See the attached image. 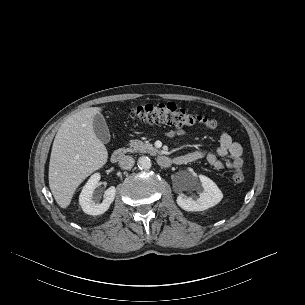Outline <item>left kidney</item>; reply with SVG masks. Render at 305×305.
<instances>
[{"label": "left kidney", "instance_id": "obj_1", "mask_svg": "<svg viewBox=\"0 0 305 305\" xmlns=\"http://www.w3.org/2000/svg\"><path fill=\"white\" fill-rule=\"evenodd\" d=\"M199 182L203 191L199 193L198 198L193 199L184 194H180L177 197V204L183 210L190 212L203 211L215 206L222 200L223 194L221 190L210 178L204 175H199L198 178L187 181L186 190H194Z\"/></svg>", "mask_w": 305, "mask_h": 305}]
</instances>
